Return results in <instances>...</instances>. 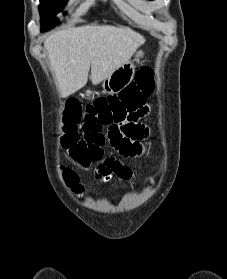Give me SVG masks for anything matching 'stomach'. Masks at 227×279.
<instances>
[{
    "instance_id": "stomach-1",
    "label": "stomach",
    "mask_w": 227,
    "mask_h": 279,
    "mask_svg": "<svg viewBox=\"0 0 227 279\" xmlns=\"http://www.w3.org/2000/svg\"><path fill=\"white\" fill-rule=\"evenodd\" d=\"M144 54L145 51L143 49H137L134 53L133 59H129L102 81L103 91L107 94H117L127 87L133 80L135 74V63H139ZM84 95L86 97H90L92 95V91L86 90Z\"/></svg>"
}]
</instances>
